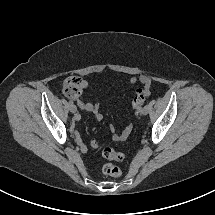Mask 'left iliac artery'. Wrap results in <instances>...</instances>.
Wrapping results in <instances>:
<instances>
[{
  "label": "left iliac artery",
  "instance_id": "1",
  "mask_svg": "<svg viewBox=\"0 0 215 215\" xmlns=\"http://www.w3.org/2000/svg\"><path fill=\"white\" fill-rule=\"evenodd\" d=\"M136 112H137V113L143 112V107H141V106L138 107V108L136 109Z\"/></svg>",
  "mask_w": 215,
  "mask_h": 215
}]
</instances>
